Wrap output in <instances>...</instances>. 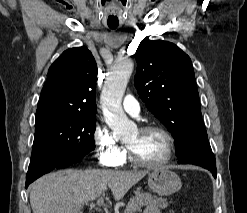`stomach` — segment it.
Masks as SVG:
<instances>
[{
    "label": "stomach",
    "mask_w": 247,
    "mask_h": 213,
    "mask_svg": "<svg viewBox=\"0 0 247 213\" xmlns=\"http://www.w3.org/2000/svg\"><path fill=\"white\" fill-rule=\"evenodd\" d=\"M148 185L154 193L169 196L179 191L182 184L175 172L167 168H161L149 174Z\"/></svg>",
    "instance_id": "1"
}]
</instances>
